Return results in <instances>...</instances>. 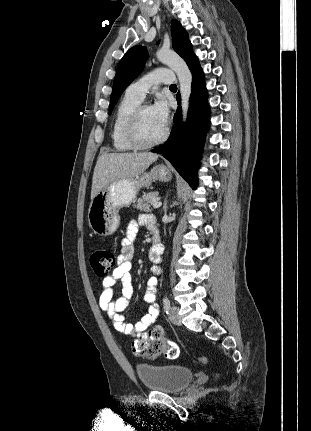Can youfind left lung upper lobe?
Listing matches in <instances>:
<instances>
[{
	"mask_svg": "<svg viewBox=\"0 0 311 431\" xmlns=\"http://www.w3.org/2000/svg\"><path fill=\"white\" fill-rule=\"evenodd\" d=\"M171 36L173 49L188 64L195 54L193 53L192 45L186 30L177 20H172L171 22ZM147 56L146 48L135 46L129 49L120 60L110 98L109 113L112 112V109L126 87L142 72Z\"/></svg>",
	"mask_w": 311,
	"mask_h": 431,
	"instance_id": "obj_1",
	"label": "left lung upper lobe"
}]
</instances>
